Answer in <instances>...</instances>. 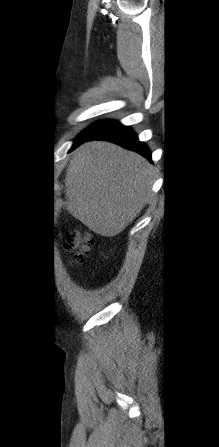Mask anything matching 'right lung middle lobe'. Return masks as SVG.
<instances>
[{
  "label": "right lung middle lobe",
  "mask_w": 219,
  "mask_h": 447,
  "mask_svg": "<svg viewBox=\"0 0 219 447\" xmlns=\"http://www.w3.org/2000/svg\"><path fill=\"white\" fill-rule=\"evenodd\" d=\"M112 122L111 120H106V121H102V122H98L92 126H90L89 128H87L85 131H83L76 139V142L86 138V137H90L94 134H96L97 132L101 131L102 129H104L105 127H107L108 125H110ZM75 142V143H76Z\"/></svg>",
  "instance_id": "obj_1"
}]
</instances>
